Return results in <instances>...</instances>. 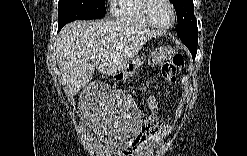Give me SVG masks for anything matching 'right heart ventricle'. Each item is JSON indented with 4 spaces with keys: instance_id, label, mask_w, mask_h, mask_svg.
<instances>
[{
    "instance_id": "obj_1",
    "label": "right heart ventricle",
    "mask_w": 247,
    "mask_h": 156,
    "mask_svg": "<svg viewBox=\"0 0 247 156\" xmlns=\"http://www.w3.org/2000/svg\"><path fill=\"white\" fill-rule=\"evenodd\" d=\"M142 0H118L112 3L111 12L116 20L142 27H149L142 13Z\"/></svg>"
}]
</instances>
